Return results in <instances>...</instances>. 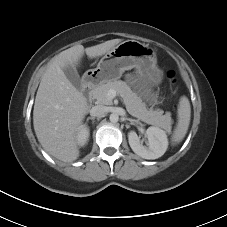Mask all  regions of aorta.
<instances>
[{
  "label": "aorta",
  "mask_w": 227,
  "mask_h": 227,
  "mask_svg": "<svg viewBox=\"0 0 227 227\" xmlns=\"http://www.w3.org/2000/svg\"><path fill=\"white\" fill-rule=\"evenodd\" d=\"M109 119L112 123H116L119 120V115L116 113H112V114H110Z\"/></svg>",
  "instance_id": "aorta-1"
}]
</instances>
